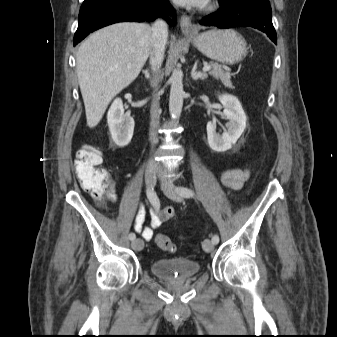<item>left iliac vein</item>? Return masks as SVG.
I'll list each match as a JSON object with an SVG mask.
<instances>
[{
	"label": "left iliac vein",
	"instance_id": "left-iliac-vein-1",
	"mask_svg": "<svg viewBox=\"0 0 337 337\" xmlns=\"http://www.w3.org/2000/svg\"><path fill=\"white\" fill-rule=\"evenodd\" d=\"M160 180L162 184V190L165 195L174 201L180 202L182 197L179 195L178 189L172 183L166 181L162 176L160 177ZM202 246L204 251L207 253L212 252L214 249V244L210 239H205Z\"/></svg>",
	"mask_w": 337,
	"mask_h": 337
}]
</instances>
